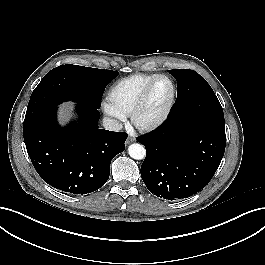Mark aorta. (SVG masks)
<instances>
[{"instance_id":"aorta-1","label":"aorta","mask_w":265,"mask_h":265,"mask_svg":"<svg viewBox=\"0 0 265 265\" xmlns=\"http://www.w3.org/2000/svg\"><path fill=\"white\" fill-rule=\"evenodd\" d=\"M128 153L133 159L141 160L145 158L146 150L143 145L134 143L129 146Z\"/></svg>"}]
</instances>
